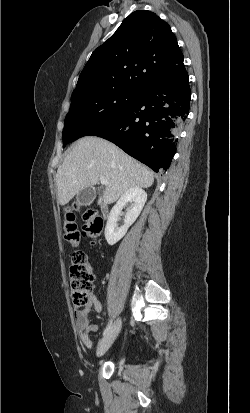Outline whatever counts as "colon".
Segmentation results:
<instances>
[{
  "label": "colon",
  "instance_id": "obj_1",
  "mask_svg": "<svg viewBox=\"0 0 250 413\" xmlns=\"http://www.w3.org/2000/svg\"><path fill=\"white\" fill-rule=\"evenodd\" d=\"M82 232L78 229L73 208H67L64 220V237L72 247H77L82 235L91 241L97 240L103 230V221L91 209L84 212ZM94 275L84 253L76 251L70 266V289L74 305L85 308L91 303Z\"/></svg>",
  "mask_w": 250,
  "mask_h": 413
}]
</instances>
